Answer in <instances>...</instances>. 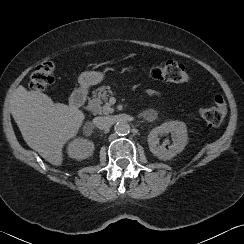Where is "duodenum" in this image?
<instances>
[{
  "label": "duodenum",
  "mask_w": 244,
  "mask_h": 244,
  "mask_svg": "<svg viewBox=\"0 0 244 244\" xmlns=\"http://www.w3.org/2000/svg\"><path fill=\"white\" fill-rule=\"evenodd\" d=\"M88 94L89 90L86 87L76 89L70 97V106L74 109L81 107L86 103Z\"/></svg>",
  "instance_id": "obj_1"
}]
</instances>
